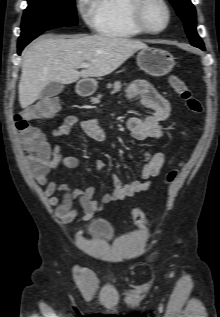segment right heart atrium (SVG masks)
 Returning <instances> with one entry per match:
<instances>
[{
    "label": "right heart atrium",
    "mask_w": 220,
    "mask_h": 317,
    "mask_svg": "<svg viewBox=\"0 0 220 317\" xmlns=\"http://www.w3.org/2000/svg\"><path fill=\"white\" fill-rule=\"evenodd\" d=\"M75 8L86 25L91 28L96 27V0H76Z\"/></svg>",
    "instance_id": "obj_1"
}]
</instances>
